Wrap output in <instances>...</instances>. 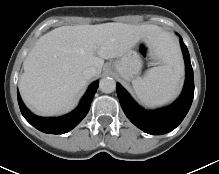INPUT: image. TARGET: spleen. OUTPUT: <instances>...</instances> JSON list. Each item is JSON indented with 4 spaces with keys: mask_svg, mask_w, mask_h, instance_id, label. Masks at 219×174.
Wrapping results in <instances>:
<instances>
[{
    "mask_svg": "<svg viewBox=\"0 0 219 174\" xmlns=\"http://www.w3.org/2000/svg\"><path fill=\"white\" fill-rule=\"evenodd\" d=\"M170 51L168 59L176 53ZM182 70L171 62L147 70L143 77L132 80V85L139 99L146 105L162 106L172 101L181 89Z\"/></svg>",
    "mask_w": 219,
    "mask_h": 174,
    "instance_id": "1",
    "label": "spleen"
}]
</instances>
